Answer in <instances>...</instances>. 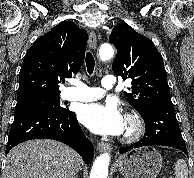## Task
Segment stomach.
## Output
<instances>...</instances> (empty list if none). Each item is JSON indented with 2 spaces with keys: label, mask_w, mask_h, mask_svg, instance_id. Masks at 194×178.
Wrapping results in <instances>:
<instances>
[{
  "label": "stomach",
  "mask_w": 194,
  "mask_h": 178,
  "mask_svg": "<svg viewBox=\"0 0 194 178\" xmlns=\"http://www.w3.org/2000/svg\"><path fill=\"white\" fill-rule=\"evenodd\" d=\"M163 165L160 153L150 146L128 152L117 159L124 178H156Z\"/></svg>",
  "instance_id": "obj_1"
}]
</instances>
